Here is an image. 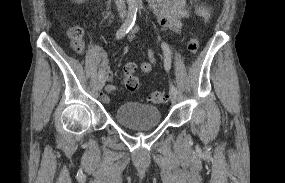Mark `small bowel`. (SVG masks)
<instances>
[{"label": "small bowel", "instance_id": "small-bowel-1", "mask_svg": "<svg viewBox=\"0 0 285 183\" xmlns=\"http://www.w3.org/2000/svg\"><path fill=\"white\" fill-rule=\"evenodd\" d=\"M150 8L157 16L161 29L170 36L179 35L182 32L185 21L191 16H198L207 22L210 18V10L207 7L191 4L188 0H147ZM139 30L138 26L133 28L129 39L132 40L134 33ZM98 56L99 70L103 72L105 80H112V72L109 68V60L105 50L95 47ZM148 61L140 63V69L143 73H151L157 62L154 51L149 49L147 52ZM116 87L112 84L105 86L107 93H112ZM101 100L104 103L109 101V97L102 93Z\"/></svg>", "mask_w": 285, "mask_h": 183}]
</instances>
